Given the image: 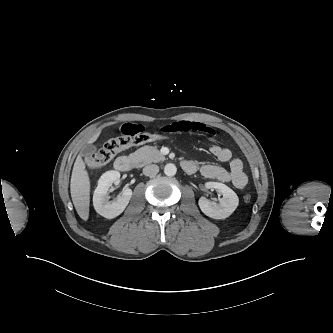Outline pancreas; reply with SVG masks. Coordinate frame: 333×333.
<instances>
[{
  "instance_id": "cf45deb5",
  "label": "pancreas",
  "mask_w": 333,
  "mask_h": 333,
  "mask_svg": "<svg viewBox=\"0 0 333 333\" xmlns=\"http://www.w3.org/2000/svg\"><path fill=\"white\" fill-rule=\"evenodd\" d=\"M130 157L138 167H142L152 162H161L166 159L165 156L160 153L157 147L154 146L141 147L134 153L130 154Z\"/></svg>"
}]
</instances>
